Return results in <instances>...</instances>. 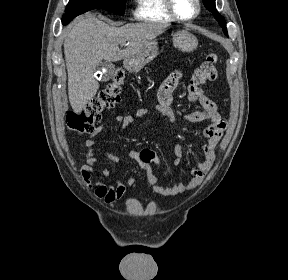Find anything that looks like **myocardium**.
Segmentation results:
<instances>
[{"label": "myocardium", "mask_w": 288, "mask_h": 280, "mask_svg": "<svg viewBox=\"0 0 288 280\" xmlns=\"http://www.w3.org/2000/svg\"><path fill=\"white\" fill-rule=\"evenodd\" d=\"M195 2H196V12L194 13L193 16L189 18H183L176 12L174 0H165V5H166L168 13L171 15V17L174 20L180 21V22H191L200 15L201 9H202L201 0H195Z\"/></svg>", "instance_id": "f54148a6"}]
</instances>
